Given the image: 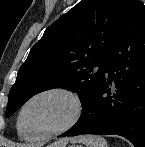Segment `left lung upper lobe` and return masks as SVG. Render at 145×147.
<instances>
[{"label": "left lung upper lobe", "mask_w": 145, "mask_h": 147, "mask_svg": "<svg viewBox=\"0 0 145 147\" xmlns=\"http://www.w3.org/2000/svg\"><path fill=\"white\" fill-rule=\"evenodd\" d=\"M130 1L81 0L51 24L18 71L9 92L6 117L33 95L53 88L77 93L82 116L103 77L105 61Z\"/></svg>", "instance_id": "5c2ea615"}]
</instances>
